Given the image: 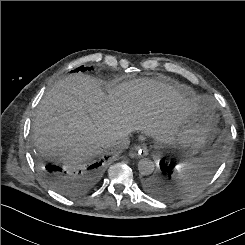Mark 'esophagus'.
<instances>
[{
	"label": "esophagus",
	"instance_id": "34e87169",
	"mask_svg": "<svg viewBox=\"0 0 245 245\" xmlns=\"http://www.w3.org/2000/svg\"><path fill=\"white\" fill-rule=\"evenodd\" d=\"M148 155V149L145 145H138L132 148V153L130 156H147Z\"/></svg>",
	"mask_w": 245,
	"mask_h": 245
}]
</instances>
